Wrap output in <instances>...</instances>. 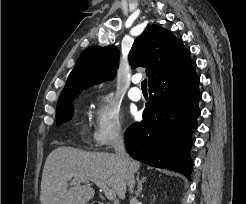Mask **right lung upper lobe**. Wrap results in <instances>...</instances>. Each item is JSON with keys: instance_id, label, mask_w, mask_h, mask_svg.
Here are the masks:
<instances>
[{"instance_id": "obj_1", "label": "right lung upper lobe", "mask_w": 246, "mask_h": 204, "mask_svg": "<svg viewBox=\"0 0 246 204\" xmlns=\"http://www.w3.org/2000/svg\"><path fill=\"white\" fill-rule=\"evenodd\" d=\"M118 62L119 52L115 46L87 48L69 74L59 100L78 96L83 89L112 79ZM129 62L133 68L147 67L150 84L170 72L188 67L193 60L180 39L158 25H150L135 40L129 53Z\"/></svg>"}]
</instances>
